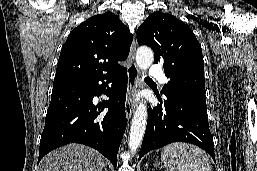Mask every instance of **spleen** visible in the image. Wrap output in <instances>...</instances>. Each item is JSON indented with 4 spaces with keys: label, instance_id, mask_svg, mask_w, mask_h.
<instances>
[{
    "label": "spleen",
    "instance_id": "obj_1",
    "mask_svg": "<svg viewBox=\"0 0 257 171\" xmlns=\"http://www.w3.org/2000/svg\"><path fill=\"white\" fill-rule=\"evenodd\" d=\"M161 159L167 171H213L207 154L187 143H173L164 147Z\"/></svg>",
    "mask_w": 257,
    "mask_h": 171
}]
</instances>
